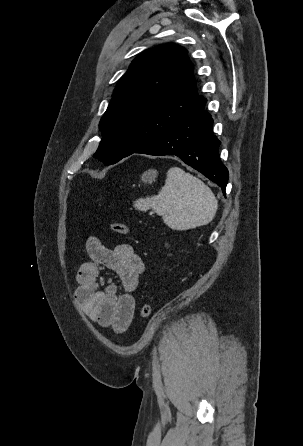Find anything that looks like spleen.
<instances>
[{"label":"spleen","mask_w":303,"mask_h":446,"mask_svg":"<svg viewBox=\"0 0 303 446\" xmlns=\"http://www.w3.org/2000/svg\"><path fill=\"white\" fill-rule=\"evenodd\" d=\"M134 207L144 212L153 209L173 230H188L210 223L218 202L203 181L179 167H172L158 195L139 198Z\"/></svg>","instance_id":"spleen-1"}]
</instances>
